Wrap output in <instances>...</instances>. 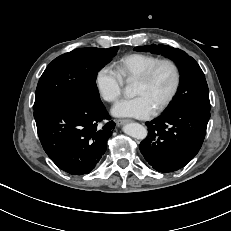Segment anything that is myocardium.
<instances>
[{"label":"myocardium","instance_id":"f54148a6","mask_svg":"<svg viewBox=\"0 0 231 231\" xmlns=\"http://www.w3.org/2000/svg\"><path fill=\"white\" fill-rule=\"evenodd\" d=\"M163 65H169L174 73V83L167 97L155 109L156 113L164 111L176 97L182 82V73L178 63L171 58H162L149 67L145 72L136 78V81L147 83L152 80L158 69Z\"/></svg>","mask_w":231,"mask_h":231}]
</instances>
